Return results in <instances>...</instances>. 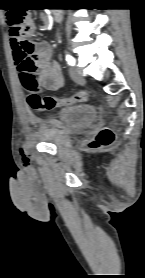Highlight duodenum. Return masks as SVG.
<instances>
[{"mask_svg":"<svg viewBox=\"0 0 145 278\" xmlns=\"http://www.w3.org/2000/svg\"><path fill=\"white\" fill-rule=\"evenodd\" d=\"M53 19L54 20H60L61 19V11L59 9H55L53 13Z\"/></svg>","mask_w":145,"mask_h":278,"instance_id":"1","label":"duodenum"}]
</instances>
